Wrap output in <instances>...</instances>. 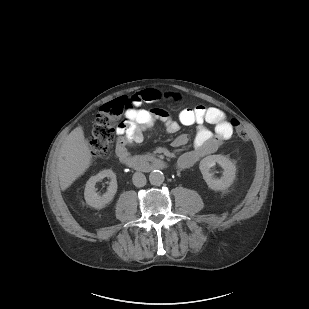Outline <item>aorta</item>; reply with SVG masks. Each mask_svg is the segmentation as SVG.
Segmentation results:
<instances>
[{"label":"aorta","mask_w":309,"mask_h":309,"mask_svg":"<svg viewBox=\"0 0 309 309\" xmlns=\"http://www.w3.org/2000/svg\"><path fill=\"white\" fill-rule=\"evenodd\" d=\"M164 174L159 170H154L149 175V181L152 185L159 186L164 182Z\"/></svg>","instance_id":"obj_1"}]
</instances>
